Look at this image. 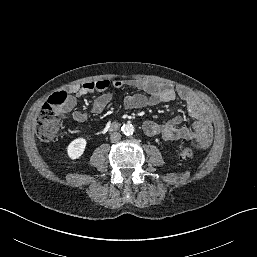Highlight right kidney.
<instances>
[{"label": "right kidney", "mask_w": 257, "mask_h": 257, "mask_svg": "<svg viewBox=\"0 0 257 257\" xmlns=\"http://www.w3.org/2000/svg\"><path fill=\"white\" fill-rule=\"evenodd\" d=\"M87 141L85 138H77L73 140L67 147V153L69 158L78 159L85 151Z\"/></svg>", "instance_id": "right-kidney-1"}]
</instances>
